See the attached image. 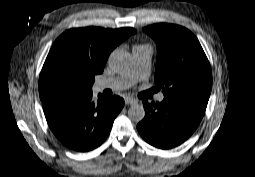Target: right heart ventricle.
<instances>
[{"instance_id":"1","label":"right heart ventricle","mask_w":255,"mask_h":177,"mask_svg":"<svg viewBox=\"0 0 255 177\" xmlns=\"http://www.w3.org/2000/svg\"><path fill=\"white\" fill-rule=\"evenodd\" d=\"M145 46H148V45H145V44H137L133 47L134 48H142V47H145Z\"/></svg>"}]
</instances>
